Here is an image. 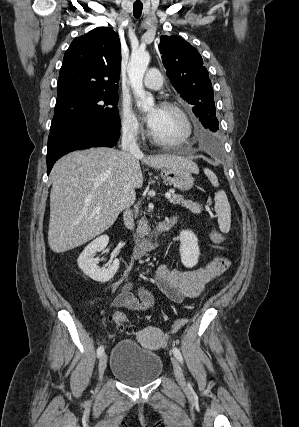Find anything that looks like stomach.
<instances>
[{
  "mask_svg": "<svg viewBox=\"0 0 299 427\" xmlns=\"http://www.w3.org/2000/svg\"><path fill=\"white\" fill-rule=\"evenodd\" d=\"M162 179L181 191H188L194 185L192 171L181 168H164L161 170Z\"/></svg>",
  "mask_w": 299,
  "mask_h": 427,
  "instance_id": "1",
  "label": "stomach"
}]
</instances>
